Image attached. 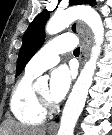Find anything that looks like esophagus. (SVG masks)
Instances as JSON below:
<instances>
[{"mask_svg": "<svg viewBox=\"0 0 112 135\" xmlns=\"http://www.w3.org/2000/svg\"><path fill=\"white\" fill-rule=\"evenodd\" d=\"M71 30H75L79 33L82 38L81 43V65L84 64L85 60L88 57L91 42H92V34L91 31L85 26L82 22H76L71 25ZM58 126L55 122H52L49 125V129H57Z\"/></svg>", "mask_w": 112, "mask_h": 135, "instance_id": "1", "label": "esophagus"}]
</instances>
